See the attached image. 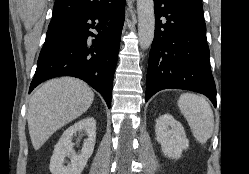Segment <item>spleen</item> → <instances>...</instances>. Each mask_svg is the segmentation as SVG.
Returning a JSON list of instances; mask_svg holds the SVG:
<instances>
[{
  "mask_svg": "<svg viewBox=\"0 0 249 174\" xmlns=\"http://www.w3.org/2000/svg\"><path fill=\"white\" fill-rule=\"evenodd\" d=\"M178 107L187 119L194 137L201 144H205L214 129L213 111L206 98L193 93H184L178 100Z\"/></svg>",
  "mask_w": 249,
  "mask_h": 174,
  "instance_id": "obj_1",
  "label": "spleen"
}]
</instances>
